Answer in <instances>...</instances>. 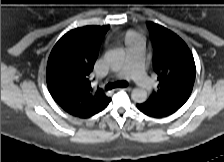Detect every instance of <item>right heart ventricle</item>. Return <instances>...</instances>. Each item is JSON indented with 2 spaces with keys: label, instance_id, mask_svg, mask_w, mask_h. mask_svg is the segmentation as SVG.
I'll return each instance as SVG.
<instances>
[{
  "label": "right heart ventricle",
  "instance_id": "1",
  "mask_svg": "<svg viewBox=\"0 0 224 162\" xmlns=\"http://www.w3.org/2000/svg\"><path fill=\"white\" fill-rule=\"evenodd\" d=\"M131 36H133V33H130V34L127 35V40H128V42L131 41V40L136 39V38L131 39Z\"/></svg>",
  "mask_w": 224,
  "mask_h": 162
}]
</instances>
